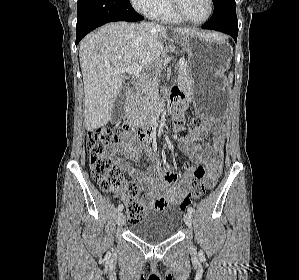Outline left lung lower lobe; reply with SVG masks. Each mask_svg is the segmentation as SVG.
I'll return each instance as SVG.
<instances>
[{"mask_svg":"<svg viewBox=\"0 0 299 280\" xmlns=\"http://www.w3.org/2000/svg\"><path fill=\"white\" fill-rule=\"evenodd\" d=\"M214 13L202 28L221 31L237 41L238 23L235 0H213Z\"/></svg>","mask_w":299,"mask_h":280,"instance_id":"obj_1","label":"left lung lower lobe"}]
</instances>
